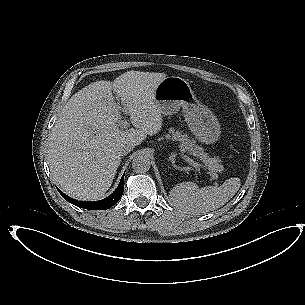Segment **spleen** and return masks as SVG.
Returning a JSON list of instances; mask_svg holds the SVG:
<instances>
[{"mask_svg": "<svg viewBox=\"0 0 305 305\" xmlns=\"http://www.w3.org/2000/svg\"><path fill=\"white\" fill-rule=\"evenodd\" d=\"M238 179V178H233ZM232 179L220 186L199 188L192 182H184L175 186L169 194L172 204L186 213H207L225 205L233 196L229 190Z\"/></svg>", "mask_w": 305, "mask_h": 305, "instance_id": "3e777b00", "label": "spleen"}]
</instances>
